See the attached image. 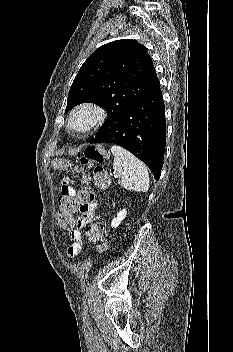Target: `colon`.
I'll use <instances>...</instances> for the list:
<instances>
[{
  "label": "colon",
  "instance_id": "1",
  "mask_svg": "<svg viewBox=\"0 0 233 352\" xmlns=\"http://www.w3.org/2000/svg\"><path fill=\"white\" fill-rule=\"evenodd\" d=\"M107 159L106 150L100 145H92L85 149L83 155L80 158L79 165L75 167V172L81 171L80 166H95L93 179L95 185L104 190L109 186L110 176L107 170L104 168V163ZM88 177L82 175V181L86 182ZM91 200L90 192L81 191L77 198L69 196H63L60 198L59 205L60 209L56 216V222L58 227L64 231H71L75 226L74 213L77 210V206L84 207ZM87 238L90 242L96 244L99 251H104L108 247L107 243V228L103 221L91 224L87 228Z\"/></svg>",
  "mask_w": 233,
  "mask_h": 352
}]
</instances>
